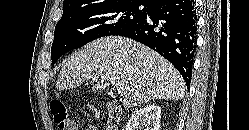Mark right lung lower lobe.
Instances as JSON below:
<instances>
[{
    "mask_svg": "<svg viewBox=\"0 0 249 130\" xmlns=\"http://www.w3.org/2000/svg\"><path fill=\"white\" fill-rule=\"evenodd\" d=\"M195 9L191 0H156L145 19L119 35L157 51L177 68L189 87L197 39Z\"/></svg>",
    "mask_w": 249,
    "mask_h": 130,
    "instance_id": "obj_1",
    "label": "right lung lower lobe"
}]
</instances>
